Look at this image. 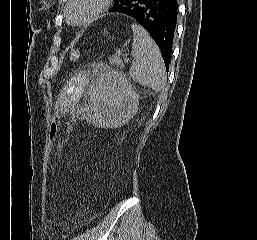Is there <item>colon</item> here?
I'll return each instance as SVG.
<instances>
[{
    "label": "colon",
    "instance_id": "obj_1",
    "mask_svg": "<svg viewBox=\"0 0 257 240\" xmlns=\"http://www.w3.org/2000/svg\"><path fill=\"white\" fill-rule=\"evenodd\" d=\"M80 51L78 49H72L69 53V58L71 61H77L80 58ZM59 122L53 120L49 126L48 136L51 141L56 140L59 134Z\"/></svg>",
    "mask_w": 257,
    "mask_h": 240
}]
</instances>
